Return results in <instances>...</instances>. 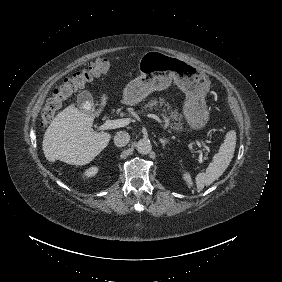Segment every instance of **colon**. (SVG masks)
<instances>
[{"mask_svg":"<svg viewBox=\"0 0 282 282\" xmlns=\"http://www.w3.org/2000/svg\"><path fill=\"white\" fill-rule=\"evenodd\" d=\"M112 66V59L108 56L97 57L90 66L82 71L72 75L62 85L56 88L54 95L47 101L41 111L40 123L42 126H48L55 114L61 109L63 102L75 91L79 90L85 83L93 77L105 74Z\"/></svg>","mask_w":282,"mask_h":282,"instance_id":"5ec220e1","label":"colon"}]
</instances>
